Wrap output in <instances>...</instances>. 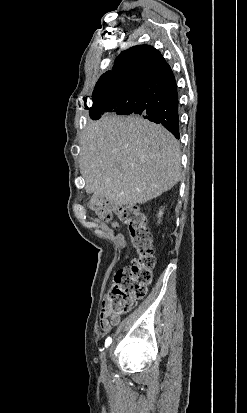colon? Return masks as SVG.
Instances as JSON below:
<instances>
[{
	"instance_id": "5ec220e1",
	"label": "colon",
	"mask_w": 247,
	"mask_h": 413,
	"mask_svg": "<svg viewBox=\"0 0 247 413\" xmlns=\"http://www.w3.org/2000/svg\"><path fill=\"white\" fill-rule=\"evenodd\" d=\"M89 208L113 227H117L113 219L117 215L132 239L136 252L134 263L116 273L111 289L110 311L113 314L125 313L146 296L147 288L154 279L156 254L153 233L146 224L145 216L136 207L116 205L95 197L89 202Z\"/></svg>"
}]
</instances>
